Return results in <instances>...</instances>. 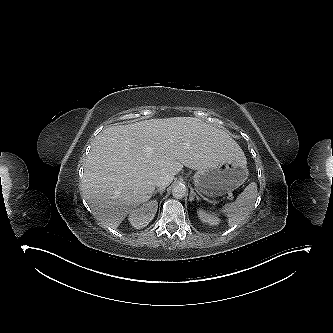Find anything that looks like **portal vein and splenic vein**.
Listing matches in <instances>:
<instances>
[{
  "instance_id": "obj_1",
  "label": "portal vein and splenic vein",
  "mask_w": 333,
  "mask_h": 333,
  "mask_svg": "<svg viewBox=\"0 0 333 333\" xmlns=\"http://www.w3.org/2000/svg\"><path fill=\"white\" fill-rule=\"evenodd\" d=\"M228 195H229V197H231V198H232V193H228Z\"/></svg>"
}]
</instances>
